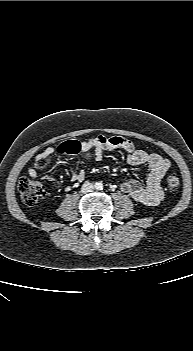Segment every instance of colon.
Listing matches in <instances>:
<instances>
[{"mask_svg":"<svg viewBox=\"0 0 193 351\" xmlns=\"http://www.w3.org/2000/svg\"><path fill=\"white\" fill-rule=\"evenodd\" d=\"M51 156L40 159L37 164L38 168L47 165ZM166 184L169 189H176L180 184L179 175L176 172L170 173L166 178ZM18 190L22 201L27 205H35L44 193L42 184L29 178L19 180Z\"/></svg>","mask_w":193,"mask_h":351,"instance_id":"colon-1","label":"colon"}]
</instances>
